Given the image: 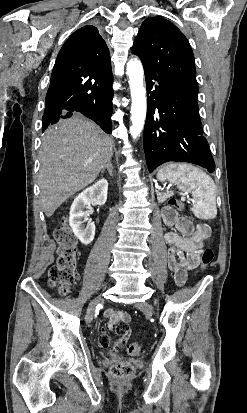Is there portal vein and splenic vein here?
I'll return each instance as SVG.
<instances>
[{
  "label": "portal vein and splenic vein",
  "mask_w": 247,
  "mask_h": 413,
  "mask_svg": "<svg viewBox=\"0 0 247 413\" xmlns=\"http://www.w3.org/2000/svg\"><path fill=\"white\" fill-rule=\"evenodd\" d=\"M188 193H189L188 191H187V192H182V193H181V196H182V197H185V199H188L189 202H192V201H193V198H192V197H189V198H188V196H187Z\"/></svg>",
  "instance_id": "18ae733b"
}]
</instances>
